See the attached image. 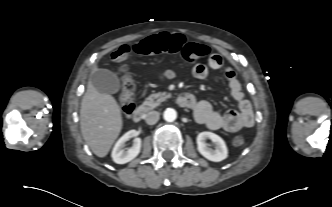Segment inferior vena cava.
Segmentation results:
<instances>
[{
	"label": "inferior vena cava",
	"instance_id": "obj_1",
	"mask_svg": "<svg viewBox=\"0 0 332 207\" xmlns=\"http://www.w3.org/2000/svg\"><path fill=\"white\" fill-rule=\"evenodd\" d=\"M158 120H159V112H157V111H150L149 113H147L146 119H145V121H146L147 124L153 125Z\"/></svg>",
	"mask_w": 332,
	"mask_h": 207
}]
</instances>
